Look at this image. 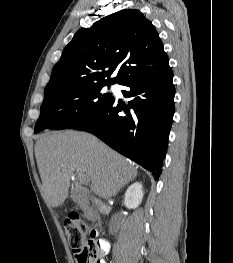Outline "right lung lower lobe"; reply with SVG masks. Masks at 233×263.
<instances>
[{"label": "right lung lower lobe", "mask_w": 233, "mask_h": 263, "mask_svg": "<svg viewBox=\"0 0 233 263\" xmlns=\"http://www.w3.org/2000/svg\"><path fill=\"white\" fill-rule=\"evenodd\" d=\"M121 85L130 88L122 91L125 97L132 98L127 106L113 98L73 128L94 134L122 155L152 171L158 179L174 115L172 70L167 67L158 74L128 79Z\"/></svg>", "instance_id": "1"}]
</instances>
